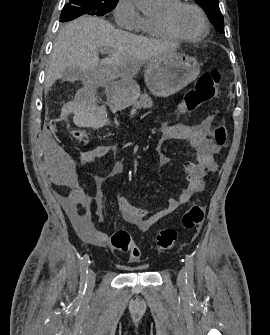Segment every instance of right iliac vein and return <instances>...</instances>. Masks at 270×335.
<instances>
[{"label":"right iliac vein","mask_w":270,"mask_h":335,"mask_svg":"<svg viewBox=\"0 0 270 335\" xmlns=\"http://www.w3.org/2000/svg\"><path fill=\"white\" fill-rule=\"evenodd\" d=\"M95 279H96V275L93 272V270H89L88 276H87V283H88V287L92 288L95 284Z\"/></svg>","instance_id":"1"}]
</instances>
